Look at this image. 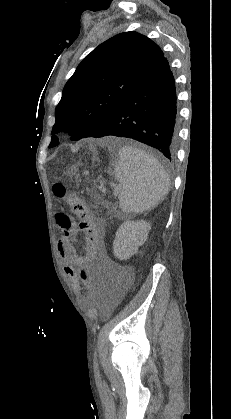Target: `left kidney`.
<instances>
[{
  "instance_id": "left-kidney-1",
  "label": "left kidney",
  "mask_w": 231,
  "mask_h": 419,
  "mask_svg": "<svg viewBox=\"0 0 231 419\" xmlns=\"http://www.w3.org/2000/svg\"><path fill=\"white\" fill-rule=\"evenodd\" d=\"M151 225L144 220L125 221L117 232L113 242V253L119 260H127L137 253L148 237Z\"/></svg>"
}]
</instances>
